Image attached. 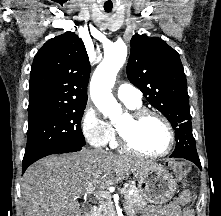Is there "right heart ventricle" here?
<instances>
[{
    "instance_id": "obj_1",
    "label": "right heart ventricle",
    "mask_w": 221,
    "mask_h": 216,
    "mask_svg": "<svg viewBox=\"0 0 221 216\" xmlns=\"http://www.w3.org/2000/svg\"><path fill=\"white\" fill-rule=\"evenodd\" d=\"M127 107L129 109H138L141 107V104H137V105H127ZM111 126V136L109 139V144L111 145V147L113 148H117L118 147V142H117V136H116V129L114 125H110Z\"/></svg>"
}]
</instances>
